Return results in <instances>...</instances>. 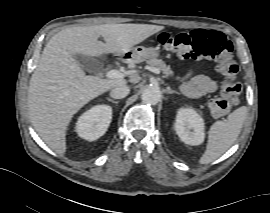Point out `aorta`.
I'll use <instances>...</instances> for the list:
<instances>
[{
	"label": "aorta",
	"mask_w": 270,
	"mask_h": 213,
	"mask_svg": "<svg viewBox=\"0 0 270 213\" xmlns=\"http://www.w3.org/2000/svg\"><path fill=\"white\" fill-rule=\"evenodd\" d=\"M141 99L148 105H156L161 99V91L158 86L152 85L145 88L142 92Z\"/></svg>",
	"instance_id": "aorta-1"
}]
</instances>
